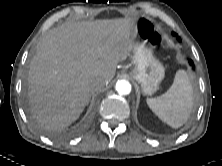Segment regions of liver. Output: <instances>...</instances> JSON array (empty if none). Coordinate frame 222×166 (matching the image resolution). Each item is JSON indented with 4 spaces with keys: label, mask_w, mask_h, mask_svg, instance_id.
Returning a JSON list of instances; mask_svg holds the SVG:
<instances>
[{
    "label": "liver",
    "mask_w": 222,
    "mask_h": 166,
    "mask_svg": "<svg viewBox=\"0 0 222 166\" xmlns=\"http://www.w3.org/2000/svg\"><path fill=\"white\" fill-rule=\"evenodd\" d=\"M135 28L131 18L67 22L41 37L28 76L29 103L41 127L64 130L79 118L93 83H109L130 56Z\"/></svg>",
    "instance_id": "obj_1"
}]
</instances>
